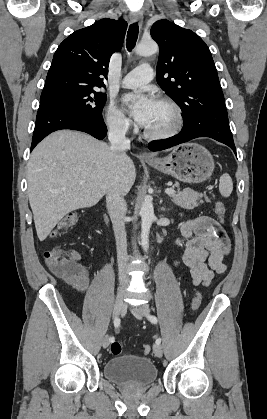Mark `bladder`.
Listing matches in <instances>:
<instances>
[{
  "instance_id": "obj_1",
  "label": "bladder",
  "mask_w": 267,
  "mask_h": 419,
  "mask_svg": "<svg viewBox=\"0 0 267 419\" xmlns=\"http://www.w3.org/2000/svg\"><path fill=\"white\" fill-rule=\"evenodd\" d=\"M104 376L117 384L141 387L153 383L157 378V369L147 357L137 355H118L106 361Z\"/></svg>"
}]
</instances>
